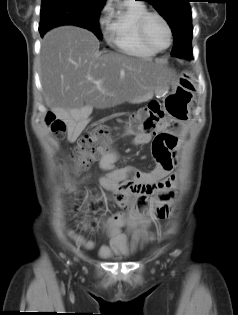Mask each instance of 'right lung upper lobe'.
Instances as JSON below:
<instances>
[{
  "instance_id": "right-lung-upper-lobe-1",
  "label": "right lung upper lobe",
  "mask_w": 238,
  "mask_h": 315,
  "mask_svg": "<svg viewBox=\"0 0 238 315\" xmlns=\"http://www.w3.org/2000/svg\"><path fill=\"white\" fill-rule=\"evenodd\" d=\"M98 1H103V2H105V0H98Z\"/></svg>"
}]
</instances>
